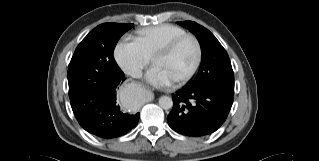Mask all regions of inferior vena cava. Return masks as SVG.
I'll list each match as a JSON object with an SVG mask.
<instances>
[{"label": "inferior vena cava", "instance_id": "obj_1", "mask_svg": "<svg viewBox=\"0 0 319 161\" xmlns=\"http://www.w3.org/2000/svg\"><path fill=\"white\" fill-rule=\"evenodd\" d=\"M127 74L134 77V78H141L142 77V71L137 68H132L127 71Z\"/></svg>", "mask_w": 319, "mask_h": 161}]
</instances>
